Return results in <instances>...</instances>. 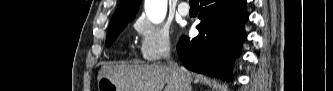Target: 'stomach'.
<instances>
[{"label":"stomach","instance_id":"0dacf381","mask_svg":"<svg viewBox=\"0 0 333 91\" xmlns=\"http://www.w3.org/2000/svg\"><path fill=\"white\" fill-rule=\"evenodd\" d=\"M97 89L98 91H121L117 85L105 76L98 80Z\"/></svg>","mask_w":333,"mask_h":91}]
</instances>
